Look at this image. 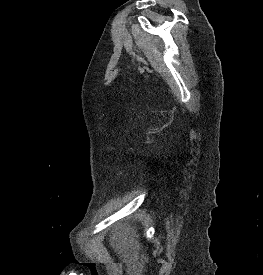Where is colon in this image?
Masks as SVG:
<instances>
[{"label": "colon", "instance_id": "obj_1", "mask_svg": "<svg viewBox=\"0 0 263 275\" xmlns=\"http://www.w3.org/2000/svg\"><path fill=\"white\" fill-rule=\"evenodd\" d=\"M143 271V266L139 262H134L132 265V273L134 275H140Z\"/></svg>", "mask_w": 263, "mask_h": 275}]
</instances>
